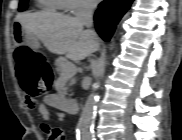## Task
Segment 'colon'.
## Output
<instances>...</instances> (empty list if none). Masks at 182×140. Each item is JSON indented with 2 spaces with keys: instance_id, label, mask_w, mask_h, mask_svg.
<instances>
[{
  "instance_id": "5ec220e1",
  "label": "colon",
  "mask_w": 182,
  "mask_h": 140,
  "mask_svg": "<svg viewBox=\"0 0 182 140\" xmlns=\"http://www.w3.org/2000/svg\"><path fill=\"white\" fill-rule=\"evenodd\" d=\"M16 73L25 92L26 100L32 104L50 89L52 71L44 56L28 47H20L15 52Z\"/></svg>"
}]
</instances>
